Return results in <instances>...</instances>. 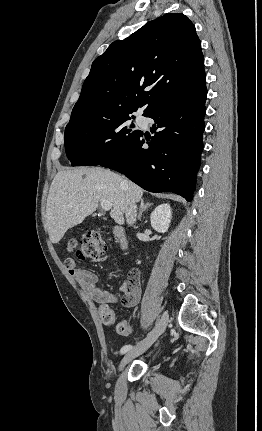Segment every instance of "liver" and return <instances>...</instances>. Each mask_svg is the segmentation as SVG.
Segmentation results:
<instances>
[{
    "mask_svg": "<svg viewBox=\"0 0 262 431\" xmlns=\"http://www.w3.org/2000/svg\"><path fill=\"white\" fill-rule=\"evenodd\" d=\"M143 189L117 173L101 167H82L59 171L50 186L46 205V228L52 243L80 224L98 207L100 199L112 203L115 222H124L129 199L138 202Z\"/></svg>",
    "mask_w": 262,
    "mask_h": 431,
    "instance_id": "1",
    "label": "liver"
}]
</instances>
